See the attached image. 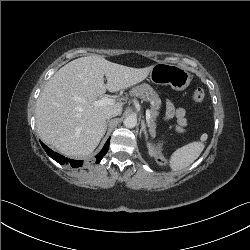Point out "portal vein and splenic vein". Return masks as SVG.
<instances>
[{
  "mask_svg": "<svg viewBox=\"0 0 250 250\" xmlns=\"http://www.w3.org/2000/svg\"><path fill=\"white\" fill-rule=\"evenodd\" d=\"M113 103H114V99H111V98H108V97H104V98H102L100 100H96L94 102V104L96 106L111 105ZM150 118H151V112H150V110H147L146 111V120H147L148 124L150 122Z\"/></svg>",
  "mask_w": 250,
  "mask_h": 250,
  "instance_id": "1",
  "label": "portal vein and splenic vein"
}]
</instances>
